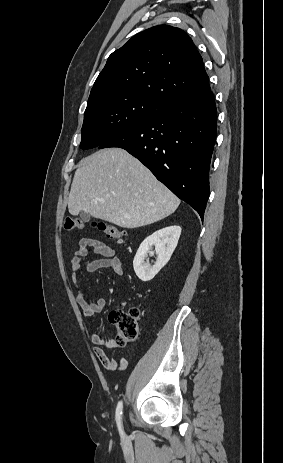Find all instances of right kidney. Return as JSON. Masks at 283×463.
Instances as JSON below:
<instances>
[{"label":"right kidney","instance_id":"ca27d5eb","mask_svg":"<svg viewBox=\"0 0 283 463\" xmlns=\"http://www.w3.org/2000/svg\"><path fill=\"white\" fill-rule=\"evenodd\" d=\"M180 235V226H169L154 232L141 243L133 260L134 271L140 280L150 281L167 264L177 246ZM152 246L155 247L157 260L150 267L145 262V257L148 253L154 254L153 251H150Z\"/></svg>","mask_w":283,"mask_h":463}]
</instances>
